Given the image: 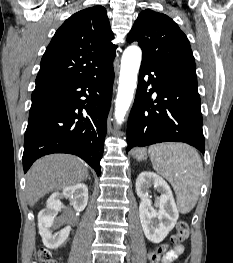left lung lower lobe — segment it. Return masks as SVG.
Wrapping results in <instances>:
<instances>
[{
  "label": "left lung lower lobe",
  "instance_id": "left-lung-lower-lobe-1",
  "mask_svg": "<svg viewBox=\"0 0 233 263\" xmlns=\"http://www.w3.org/2000/svg\"><path fill=\"white\" fill-rule=\"evenodd\" d=\"M154 92L155 100L151 98ZM200 107L195 73L142 61L128 120L127 149L159 142H185L204 153Z\"/></svg>",
  "mask_w": 233,
  "mask_h": 263
}]
</instances>
